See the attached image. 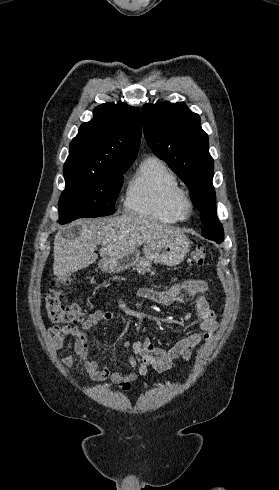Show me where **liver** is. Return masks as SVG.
<instances>
[{
  "instance_id": "liver-1",
  "label": "liver",
  "mask_w": 279,
  "mask_h": 490,
  "mask_svg": "<svg viewBox=\"0 0 279 490\" xmlns=\"http://www.w3.org/2000/svg\"><path fill=\"white\" fill-rule=\"evenodd\" d=\"M80 234L76 240H64L61 230L54 238L53 274L64 278L71 272L88 268L98 258L97 246L102 258H117L132 252L138 246L155 240H173L183 236L181 230L172 226H161L137 216H117L103 220H76Z\"/></svg>"
}]
</instances>
